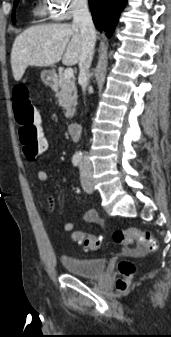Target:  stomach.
I'll use <instances>...</instances> for the list:
<instances>
[{
    "label": "stomach",
    "instance_id": "1",
    "mask_svg": "<svg viewBox=\"0 0 171 337\" xmlns=\"http://www.w3.org/2000/svg\"><path fill=\"white\" fill-rule=\"evenodd\" d=\"M41 79L44 83H52L56 79V74L52 70H44L41 73Z\"/></svg>",
    "mask_w": 171,
    "mask_h": 337
}]
</instances>
